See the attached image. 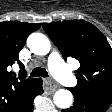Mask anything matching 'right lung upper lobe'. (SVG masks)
I'll return each mask as SVG.
<instances>
[{
    "label": "right lung upper lobe",
    "mask_w": 112,
    "mask_h": 112,
    "mask_svg": "<svg viewBox=\"0 0 112 112\" xmlns=\"http://www.w3.org/2000/svg\"><path fill=\"white\" fill-rule=\"evenodd\" d=\"M41 24L19 21L0 23V112H16L30 92L35 82L40 79L16 78L10 66L19 60V52L24 47L27 37L40 28Z\"/></svg>",
    "instance_id": "1"
}]
</instances>
